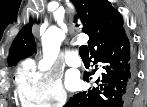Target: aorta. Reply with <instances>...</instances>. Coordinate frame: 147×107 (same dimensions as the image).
Masks as SVG:
<instances>
[{"instance_id":"aorta-1","label":"aorta","mask_w":147,"mask_h":107,"mask_svg":"<svg viewBox=\"0 0 147 107\" xmlns=\"http://www.w3.org/2000/svg\"><path fill=\"white\" fill-rule=\"evenodd\" d=\"M63 32L57 27L49 28L42 37L43 59L39 62V69L46 71L50 69L58 57Z\"/></svg>"}]
</instances>
